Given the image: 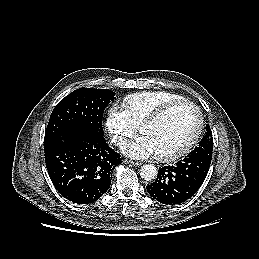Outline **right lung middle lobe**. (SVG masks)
Segmentation results:
<instances>
[{
  "mask_svg": "<svg viewBox=\"0 0 259 259\" xmlns=\"http://www.w3.org/2000/svg\"><path fill=\"white\" fill-rule=\"evenodd\" d=\"M114 96L111 90L92 88H80L67 95L51 113L44 143L72 131L104 136L102 116Z\"/></svg>",
  "mask_w": 259,
  "mask_h": 259,
  "instance_id": "obj_1",
  "label": "right lung middle lobe"
}]
</instances>
